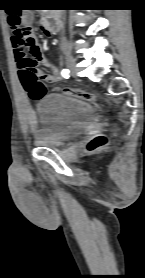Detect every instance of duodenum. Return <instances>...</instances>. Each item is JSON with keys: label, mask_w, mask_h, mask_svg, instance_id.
<instances>
[{"label": "duodenum", "mask_w": 145, "mask_h": 278, "mask_svg": "<svg viewBox=\"0 0 145 278\" xmlns=\"http://www.w3.org/2000/svg\"><path fill=\"white\" fill-rule=\"evenodd\" d=\"M42 25L51 33H56L59 31V21L58 19L52 14H46L42 20Z\"/></svg>", "instance_id": "410a0bca"}]
</instances>
